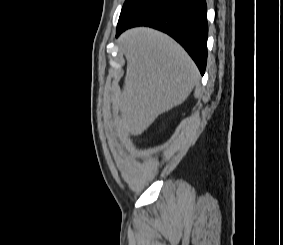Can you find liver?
<instances>
[{
	"label": "liver",
	"mask_w": 283,
	"mask_h": 245,
	"mask_svg": "<svg viewBox=\"0 0 283 245\" xmlns=\"http://www.w3.org/2000/svg\"><path fill=\"white\" fill-rule=\"evenodd\" d=\"M121 44L127 69L115 121L121 133L135 136L159 115L182 104L200 74L186 51L157 30L130 29Z\"/></svg>",
	"instance_id": "obj_1"
}]
</instances>
